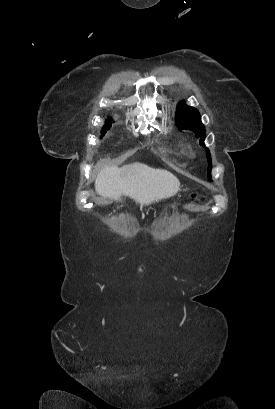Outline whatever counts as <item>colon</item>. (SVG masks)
I'll return each mask as SVG.
<instances>
[{
  "label": "colon",
  "instance_id": "1",
  "mask_svg": "<svg viewBox=\"0 0 275 409\" xmlns=\"http://www.w3.org/2000/svg\"><path fill=\"white\" fill-rule=\"evenodd\" d=\"M197 197H198V196H197L196 194H192V195H191V199H197Z\"/></svg>",
  "mask_w": 275,
  "mask_h": 409
}]
</instances>
